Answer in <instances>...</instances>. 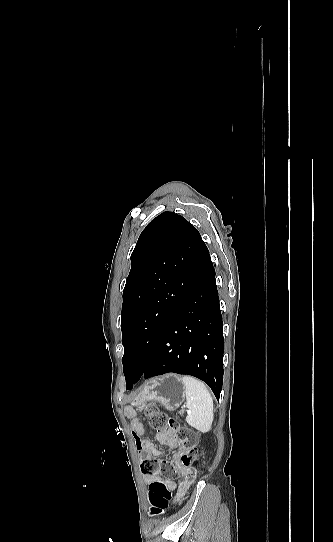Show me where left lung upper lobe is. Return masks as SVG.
<instances>
[{"label": "left lung upper lobe", "mask_w": 333, "mask_h": 542, "mask_svg": "<svg viewBox=\"0 0 333 542\" xmlns=\"http://www.w3.org/2000/svg\"><path fill=\"white\" fill-rule=\"evenodd\" d=\"M209 257L198 230L173 212H163L140 234L123 291L126 382L144 372L163 327Z\"/></svg>", "instance_id": "left-lung-upper-lobe-1"}]
</instances>
